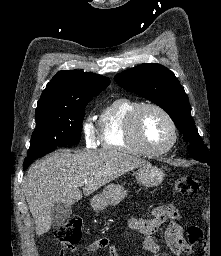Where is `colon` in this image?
I'll return each instance as SVG.
<instances>
[{
    "mask_svg": "<svg viewBox=\"0 0 221 256\" xmlns=\"http://www.w3.org/2000/svg\"><path fill=\"white\" fill-rule=\"evenodd\" d=\"M200 182L191 176H183L176 180L175 190L180 194H192L200 188ZM55 238L67 249H73L82 237V220L71 217L57 226ZM189 256H206V239L203 230L193 226L188 231Z\"/></svg>",
    "mask_w": 221,
    "mask_h": 256,
    "instance_id": "colon-1",
    "label": "colon"
}]
</instances>
